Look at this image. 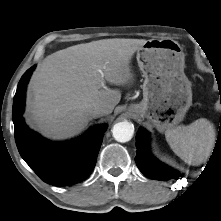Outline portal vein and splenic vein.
<instances>
[{
  "label": "portal vein and splenic vein",
  "mask_w": 221,
  "mask_h": 221,
  "mask_svg": "<svg viewBox=\"0 0 221 221\" xmlns=\"http://www.w3.org/2000/svg\"><path fill=\"white\" fill-rule=\"evenodd\" d=\"M99 73L103 74L101 70H99ZM101 85L104 86L103 80L101 81Z\"/></svg>",
  "instance_id": "18ae733b"
}]
</instances>
